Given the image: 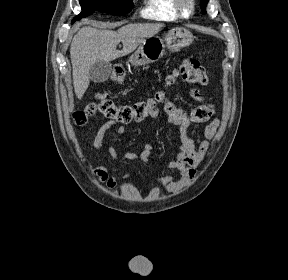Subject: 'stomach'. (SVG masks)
Masks as SVG:
<instances>
[{"label": "stomach", "mask_w": 288, "mask_h": 280, "mask_svg": "<svg viewBox=\"0 0 288 280\" xmlns=\"http://www.w3.org/2000/svg\"><path fill=\"white\" fill-rule=\"evenodd\" d=\"M192 41L193 35L189 30L182 27H174L166 33L163 39L158 36L145 39L129 61L134 66L154 63L163 57L166 48L176 52L190 45Z\"/></svg>", "instance_id": "0dacf381"}]
</instances>
